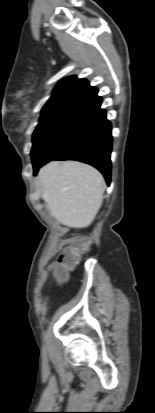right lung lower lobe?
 Wrapping results in <instances>:
<instances>
[{
    "instance_id": "right-lung-lower-lobe-1",
    "label": "right lung lower lobe",
    "mask_w": 155,
    "mask_h": 413,
    "mask_svg": "<svg viewBox=\"0 0 155 413\" xmlns=\"http://www.w3.org/2000/svg\"><path fill=\"white\" fill-rule=\"evenodd\" d=\"M102 99L97 94L78 106V110L47 156L34 166L36 174L41 166L52 160H77L97 168L110 184L112 150L111 124Z\"/></svg>"
}]
</instances>
